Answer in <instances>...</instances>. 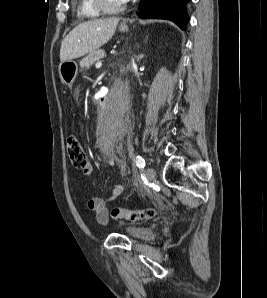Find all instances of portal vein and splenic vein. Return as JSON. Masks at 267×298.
<instances>
[{"label":"portal vein and splenic vein","instance_id":"portal-vein-and-splenic-vein-1","mask_svg":"<svg viewBox=\"0 0 267 298\" xmlns=\"http://www.w3.org/2000/svg\"><path fill=\"white\" fill-rule=\"evenodd\" d=\"M95 66H96V68L101 67V62L98 61Z\"/></svg>","mask_w":267,"mask_h":298}]
</instances>
